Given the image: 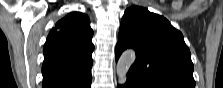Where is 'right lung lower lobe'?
I'll use <instances>...</instances> for the list:
<instances>
[{
    "label": "right lung lower lobe",
    "mask_w": 223,
    "mask_h": 88,
    "mask_svg": "<svg viewBox=\"0 0 223 88\" xmlns=\"http://www.w3.org/2000/svg\"><path fill=\"white\" fill-rule=\"evenodd\" d=\"M90 84H91V81L88 82L86 85H84L83 88H90Z\"/></svg>",
    "instance_id": "right-lung-lower-lobe-1"
}]
</instances>
